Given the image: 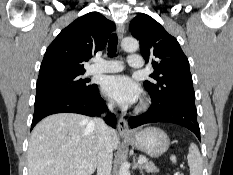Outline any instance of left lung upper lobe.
Wrapping results in <instances>:
<instances>
[{"instance_id":"1","label":"left lung upper lobe","mask_w":233,"mask_h":175,"mask_svg":"<svg viewBox=\"0 0 233 175\" xmlns=\"http://www.w3.org/2000/svg\"><path fill=\"white\" fill-rule=\"evenodd\" d=\"M130 30L140 42L142 56L147 61L152 59L153 81L144 82L151 106L161 108L177 99L195 100L189 62L176 38L146 14L137 15L130 23Z\"/></svg>"}]
</instances>
